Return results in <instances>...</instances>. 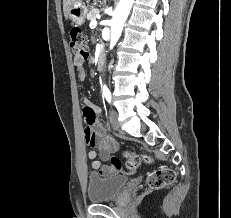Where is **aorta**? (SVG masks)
<instances>
[{"label": "aorta", "instance_id": "762f6f07", "mask_svg": "<svg viewBox=\"0 0 231 218\" xmlns=\"http://www.w3.org/2000/svg\"><path fill=\"white\" fill-rule=\"evenodd\" d=\"M134 0H120L111 20L110 49L117 43ZM106 87L104 86V90Z\"/></svg>", "mask_w": 231, "mask_h": 218}]
</instances>
